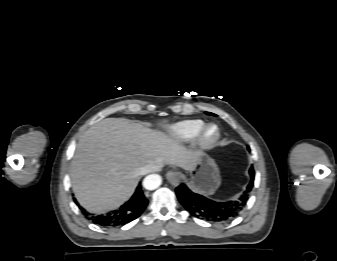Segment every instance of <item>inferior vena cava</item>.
<instances>
[{
  "instance_id": "inferior-vena-cava-1",
  "label": "inferior vena cava",
  "mask_w": 337,
  "mask_h": 261,
  "mask_svg": "<svg viewBox=\"0 0 337 261\" xmlns=\"http://www.w3.org/2000/svg\"><path fill=\"white\" fill-rule=\"evenodd\" d=\"M157 170H158L157 165L150 164V165H146V166L142 167L141 170H140V174L145 175V174H148L150 172L157 171Z\"/></svg>"
}]
</instances>
